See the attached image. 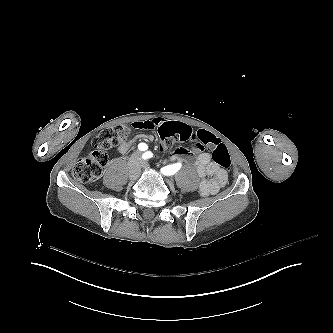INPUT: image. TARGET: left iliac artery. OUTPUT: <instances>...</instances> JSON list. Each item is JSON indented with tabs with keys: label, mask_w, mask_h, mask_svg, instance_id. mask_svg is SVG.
Listing matches in <instances>:
<instances>
[{
	"label": "left iliac artery",
	"mask_w": 333,
	"mask_h": 333,
	"mask_svg": "<svg viewBox=\"0 0 333 333\" xmlns=\"http://www.w3.org/2000/svg\"><path fill=\"white\" fill-rule=\"evenodd\" d=\"M144 159L153 157V154L151 152H146L143 154ZM181 168V163H176L173 165H168L163 168H161V172L164 175H173L175 174L179 169Z\"/></svg>",
	"instance_id": "44dca946"
}]
</instances>
